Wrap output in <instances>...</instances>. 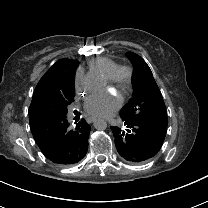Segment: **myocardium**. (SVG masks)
I'll use <instances>...</instances> for the list:
<instances>
[{
    "instance_id": "f54148a6",
    "label": "myocardium",
    "mask_w": 208,
    "mask_h": 208,
    "mask_svg": "<svg viewBox=\"0 0 208 208\" xmlns=\"http://www.w3.org/2000/svg\"><path fill=\"white\" fill-rule=\"evenodd\" d=\"M133 79V69L130 66H119L117 70L108 78L105 83H113L122 87L125 91L130 86Z\"/></svg>"
}]
</instances>
